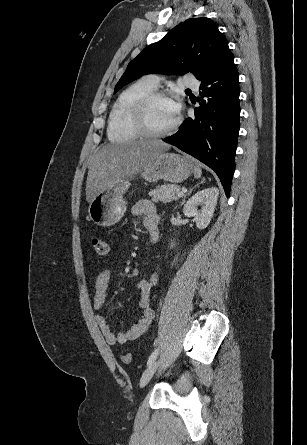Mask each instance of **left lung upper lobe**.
<instances>
[{
    "label": "left lung upper lobe",
    "instance_id": "obj_1",
    "mask_svg": "<svg viewBox=\"0 0 307 445\" xmlns=\"http://www.w3.org/2000/svg\"><path fill=\"white\" fill-rule=\"evenodd\" d=\"M233 54L217 26L206 17L191 18L146 47L127 66L115 92L150 73H192L203 80Z\"/></svg>",
    "mask_w": 307,
    "mask_h": 445
}]
</instances>
